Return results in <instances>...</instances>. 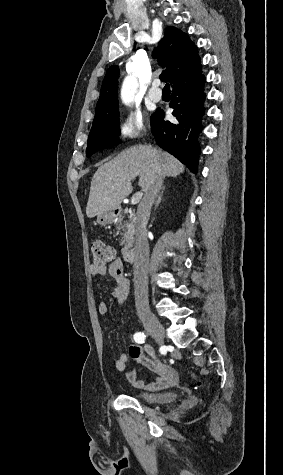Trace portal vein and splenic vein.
Segmentation results:
<instances>
[{"mask_svg": "<svg viewBox=\"0 0 283 475\" xmlns=\"http://www.w3.org/2000/svg\"><path fill=\"white\" fill-rule=\"evenodd\" d=\"M142 196V192H137V194H134V196H132L131 204H137V202H140Z\"/></svg>", "mask_w": 283, "mask_h": 475, "instance_id": "portal-vein-and-splenic-vein-1", "label": "portal vein and splenic vein"}]
</instances>
